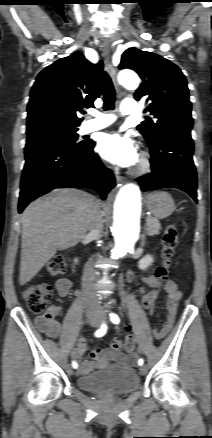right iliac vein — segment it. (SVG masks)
<instances>
[{"instance_id": "1", "label": "right iliac vein", "mask_w": 212, "mask_h": 438, "mask_svg": "<svg viewBox=\"0 0 212 438\" xmlns=\"http://www.w3.org/2000/svg\"><path fill=\"white\" fill-rule=\"evenodd\" d=\"M88 321H89L90 325H92L94 327L99 325V321H98V318L96 316H90L88 318ZM67 372L70 374L73 372V369L71 366H67Z\"/></svg>"}]
</instances>
